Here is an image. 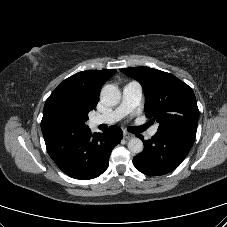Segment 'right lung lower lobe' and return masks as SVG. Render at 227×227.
Wrapping results in <instances>:
<instances>
[{
    "instance_id": "1",
    "label": "right lung lower lobe",
    "mask_w": 227,
    "mask_h": 227,
    "mask_svg": "<svg viewBox=\"0 0 227 227\" xmlns=\"http://www.w3.org/2000/svg\"><path fill=\"white\" fill-rule=\"evenodd\" d=\"M122 137V130L111 126L104 133L92 134L85 128L52 134L44 140L48 154L65 174L88 180L100 176L108 168L111 151Z\"/></svg>"
}]
</instances>
